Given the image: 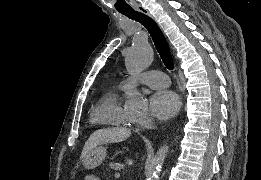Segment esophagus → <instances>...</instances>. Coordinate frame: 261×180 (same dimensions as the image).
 <instances>
[{
    "instance_id": "obj_1",
    "label": "esophagus",
    "mask_w": 261,
    "mask_h": 180,
    "mask_svg": "<svg viewBox=\"0 0 261 180\" xmlns=\"http://www.w3.org/2000/svg\"><path fill=\"white\" fill-rule=\"evenodd\" d=\"M138 9H139L140 12H144V13H146L147 15L152 16V15L148 12V10H146L145 8H138Z\"/></svg>"
}]
</instances>
